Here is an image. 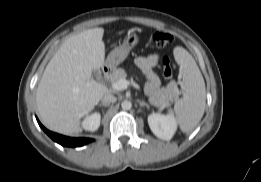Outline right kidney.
<instances>
[{"instance_id": "1", "label": "right kidney", "mask_w": 261, "mask_h": 182, "mask_svg": "<svg viewBox=\"0 0 261 182\" xmlns=\"http://www.w3.org/2000/svg\"><path fill=\"white\" fill-rule=\"evenodd\" d=\"M101 115L99 113H93L85 117L82 121V127L87 130L94 132L100 126Z\"/></svg>"}]
</instances>
